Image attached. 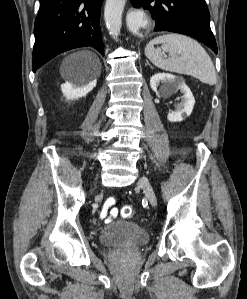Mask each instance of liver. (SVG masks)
<instances>
[{"mask_svg": "<svg viewBox=\"0 0 247 299\" xmlns=\"http://www.w3.org/2000/svg\"><path fill=\"white\" fill-rule=\"evenodd\" d=\"M78 56H83L89 59L90 62L94 65V67L97 69V74H99L101 70V63L99 58L94 54L93 52L90 51H81L77 53Z\"/></svg>", "mask_w": 247, "mask_h": 299, "instance_id": "6515ba94", "label": "liver"}]
</instances>
